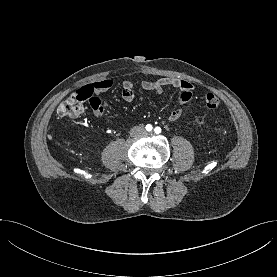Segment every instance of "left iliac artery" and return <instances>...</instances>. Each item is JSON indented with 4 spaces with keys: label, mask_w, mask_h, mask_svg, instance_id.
Segmentation results:
<instances>
[{
    "label": "left iliac artery",
    "mask_w": 277,
    "mask_h": 277,
    "mask_svg": "<svg viewBox=\"0 0 277 277\" xmlns=\"http://www.w3.org/2000/svg\"><path fill=\"white\" fill-rule=\"evenodd\" d=\"M154 132H155L156 134L161 133V128H160V127H156V128L154 129Z\"/></svg>",
    "instance_id": "obj_1"
}]
</instances>
